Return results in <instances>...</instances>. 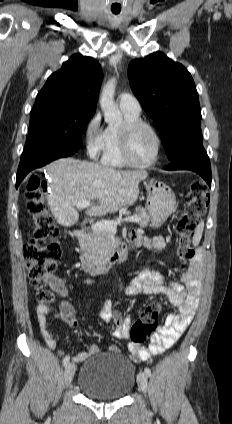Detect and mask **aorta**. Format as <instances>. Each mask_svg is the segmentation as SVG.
Listing matches in <instances>:
<instances>
[{"instance_id":"1","label":"aorta","mask_w":232,"mask_h":424,"mask_svg":"<svg viewBox=\"0 0 232 424\" xmlns=\"http://www.w3.org/2000/svg\"><path fill=\"white\" fill-rule=\"evenodd\" d=\"M115 88L116 78H112L104 85L100 98V106L104 113L105 121L112 125H118L123 120L122 114L114 102Z\"/></svg>"}]
</instances>
